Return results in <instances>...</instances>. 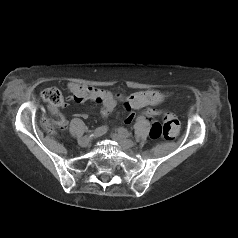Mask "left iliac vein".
I'll return each instance as SVG.
<instances>
[{"instance_id":"left-iliac-vein-1","label":"left iliac vein","mask_w":238,"mask_h":238,"mask_svg":"<svg viewBox=\"0 0 238 238\" xmlns=\"http://www.w3.org/2000/svg\"><path fill=\"white\" fill-rule=\"evenodd\" d=\"M113 140L118 142V144L124 149L127 150L134 146V142L130 139L125 138L123 135L119 134H112Z\"/></svg>"}]
</instances>
